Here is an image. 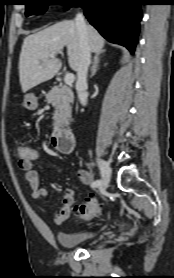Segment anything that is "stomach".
I'll return each instance as SVG.
<instances>
[{
    "label": "stomach",
    "instance_id": "0dacf381",
    "mask_svg": "<svg viewBox=\"0 0 174 278\" xmlns=\"http://www.w3.org/2000/svg\"><path fill=\"white\" fill-rule=\"evenodd\" d=\"M24 106L30 110L36 109L38 106L37 97L32 93L26 94L24 98Z\"/></svg>",
    "mask_w": 174,
    "mask_h": 278
}]
</instances>
